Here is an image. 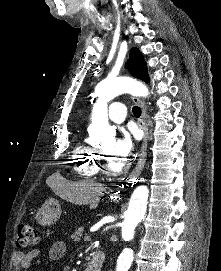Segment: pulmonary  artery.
I'll use <instances>...</instances> for the list:
<instances>
[{
  "label": "pulmonary artery",
  "mask_w": 221,
  "mask_h": 271,
  "mask_svg": "<svg viewBox=\"0 0 221 271\" xmlns=\"http://www.w3.org/2000/svg\"><path fill=\"white\" fill-rule=\"evenodd\" d=\"M110 112H108L109 122H126V107H120V102H109Z\"/></svg>",
  "instance_id": "pulmonary-artery-1"
}]
</instances>
